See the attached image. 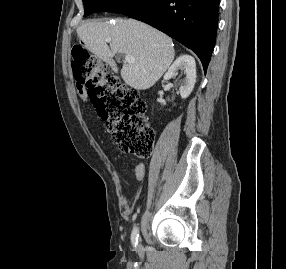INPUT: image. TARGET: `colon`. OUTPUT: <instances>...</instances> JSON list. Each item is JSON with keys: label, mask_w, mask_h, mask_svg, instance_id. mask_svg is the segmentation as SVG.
Wrapping results in <instances>:
<instances>
[{"label": "colon", "mask_w": 286, "mask_h": 269, "mask_svg": "<svg viewBox=\"0 0 286 269\" xmlns=\"http://www.w3.org/2000/svg\"><path fill=\"white\" fill-rule=\"evenodd\" d=\"M71 67L78 85L85 87L98 115L121 151L147 158L154 144V130L146 121V103L138 91L123 85L106 64L81 43L71 49Z\"/></svg>", "instance_id": "colon-1"}]
</instances>
